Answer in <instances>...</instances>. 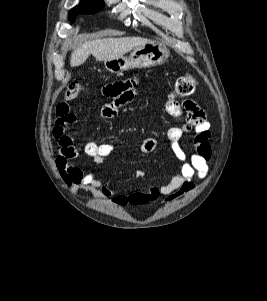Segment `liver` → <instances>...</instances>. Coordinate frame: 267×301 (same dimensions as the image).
<instances>
[{
  "instance_id": "1",
  "label": "liver",
  "mask_w": 267,
  "mask_h": 301,
  "mask_svg": "<svg viewBox=\"0 0 267 301\" xmlns=\"http://www.w3.org/2000/svg\"><path fill=\"white\" fill-rule=\"evenodd\" d=\"M149 41L141 37L104 38L88 41L74 49L70 57V65L71 67L82 65L91 54L97 61L113 60Z\"/></svg>"
}]
</instances>
